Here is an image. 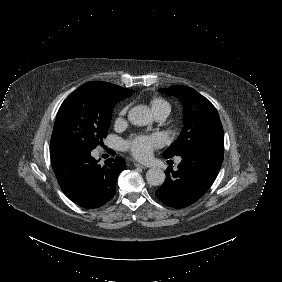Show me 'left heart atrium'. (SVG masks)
<instances>
[{
    "label": "left heart atrium",
    "mask_w": 282,
    "mask_h": 282,
    "mask_svg": "<svg viewBox=\"0 0 282 282\" xmlns=\"http://www.w3.org/2000/svg\"><path fill=\"white\" fill-rule=\"evenodd\" d=\"M159 145V139L153 138H139L130 144L133 155L139 160L146 161L151 157L153 147Z\"/></svg>",
    "instance_id": "39dd6f15"
}]
</instances>
